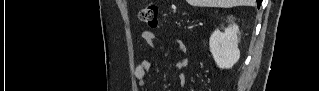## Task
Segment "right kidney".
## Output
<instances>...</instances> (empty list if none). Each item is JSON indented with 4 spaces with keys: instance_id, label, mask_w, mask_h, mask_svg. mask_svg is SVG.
<instances>
[{
    "instance_id": "1",
    "label": "right kidney",
    "mask_w": 319,
    "mask_h": 91,
    "mask_svg": "<svg viewBox=\"0 0 319 91\" xmlns=\"http://www.w3.org/2000/svg\"><path fill=\"white\" fill-rule=\"evenodd\" d=\"M238 32V26L233 23L224 32L215 30L211 35L210 52L219 68H232L239 60Z\"/></svg>"
}]
</instances>
